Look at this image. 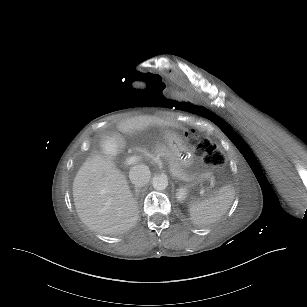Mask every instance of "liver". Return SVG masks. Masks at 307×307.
<instances>
[{
	"mask_svg": "<svg viewBox=\"0 0 307 307\" xmlns=\"http://www.w3.org/2000/svg\"><path fill=\"white\" fill-rule=\"evenodd\" d=\"M151 127L181 129L173 121L152 116L131 118L117 125L119 132L129 136ZM126 145L123 138L117 154L123 153ZM73 198L83 224L100 235L122 234L137 225L139 209L126 175L100 155L87 158L81 166L73 182Z\"/></svg>",
	"mask_w": 307,
	"mask_h": 307,
	"instance_id": "obj_1",
	"label": "liver"
}]
</instances>
